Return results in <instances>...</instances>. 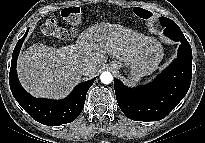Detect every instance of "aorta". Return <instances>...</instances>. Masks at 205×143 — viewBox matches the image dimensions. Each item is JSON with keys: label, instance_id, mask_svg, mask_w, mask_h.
<instances>
[{"label": "aorta", "instance_id": "1", "mask_svg": "<svg viewBox=\"0 0 205 143\" xmlns=\"http://www.w3.org/2000/svg\"><path fill=\"white\" fill-rule=\"evenodd\" d=\"M100 80L103 84H110L113 81V76L110 72L105 71L101 73Z\"/></svg>", "mask_w": 205, "mask_h": 143}]
</instances>
